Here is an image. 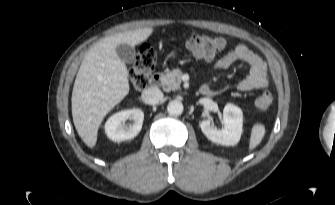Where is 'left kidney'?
<instances>
[{"label":"left kidney","mask_w":335,"mask_h":205,"mask_svg":"<svg viewBox=\"0 0 335 205\" xmlns=\"http://www.w3.org/2000/svg\"><path fill=\"white\" fill-rule=\"evenodd\" d=\"M242 125V110L231 103L226 104L224 107L222 129L211 126L209 119L200 122V128L209 140L226 146H233L239 142L242 134Z\"/></svg>","instance_id":"obj_1"}]
</instances>
